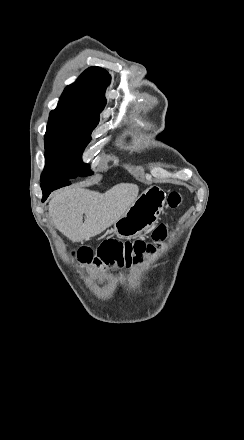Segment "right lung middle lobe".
Instances as JSON below:
<instances>
[{"label":"right lung middle lobe","mask_w":244,"mask_h":440,"mask_svg":"<svg viewBox=\"0 0 244 440\" xmlns=\"http://www.w3.org/2000/svg\"><path fill=\"white\" fill-rule=\"evenodd\" d=\"M102 110L58 105L50 113L45 134L46 166L41 182L92 175L82 153L99 123Z\"/></svg>","instance_id":"obj_1"}]
</instances>
